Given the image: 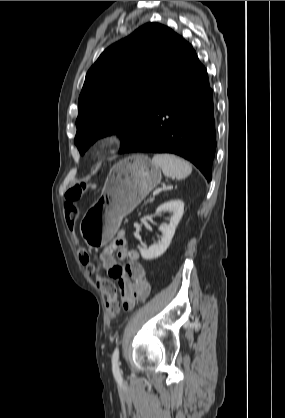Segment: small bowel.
I'll return each mask as SVG.
<instances>
[{"mask_svg": "<svg viewBox=\"0 0 285 418\" xmlns=\"http://www.w3.org/2000/svg\"><path fill=\"white\" fill-rule=\"evenodd\" d=\"M125 233L119 232L115 240L99 255V260L109 276L116 281L123 304L126 301L146 299L151 292V285L147 280L146 270L139 262V253L136 250H127L123 247ZM120 243L117 247L116 244ZM117 252L119 260H129L128 265L118 264L114 257Z\"/></svg>", "mask_w": 285, "mask_h": 418, "instance_id": "c3829d8e", "label": "small bowel"}]
</instances>
